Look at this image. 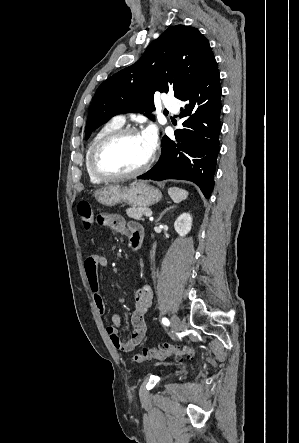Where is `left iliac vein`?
Segmentation results:
<instances>
[{
	"label": "left iliac vein",
	"instance_id": "4c4485c4",
	"mask_svg": "<svg viewBox=\"0 0 299 443\" xmlns=\"http://www.w3.org/2000/svg\"><path fill=\"white\" fill-rule=\"evenodd\" d=\"M171 325L175 332H179L182 329V323L181 320L177 315H173L171 317Z\"/></svg>",
	"mask_w": 299,
	"mask_h": 443
}]
</instances>
